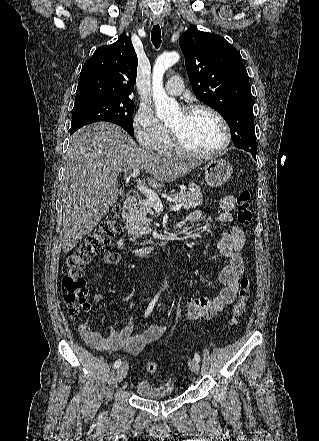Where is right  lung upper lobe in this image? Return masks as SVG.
<instances>
[{
	"label": "right lung upper lobe",
	"instance_id": "obj_1",
	"mask_svg": "<svg viewBox=\"0 0 319 441\" xmlns=\"http://www.w3.org/2000/svg\"><path fill=\"white\" fill-rule=\"evenodd\" d=\"M137 64L128 36L122 35L112 45L99 47L82 67L76 99L128 98L136 82Z\"/></svg>",
	"mask_w": 319,
	"mask_h": 441
}]
</instances>
